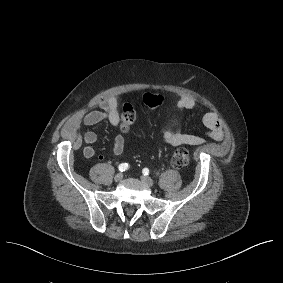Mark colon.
I'll return each mask as SVG.
<instances>
[{"label": "colon", "mask_w": 283, "mask_h": 283, "mask_svg": "<svg viewBox=\"0 0 283 283\" xmlns=\"http://www.w3.org/2000/svg\"><path fill=\"white\" fill-rule=\"evenodd\" d=\"M142 102L150 109H156L164 102V97L157 93H145L142 98ZM136 121V111L131 103H126L123 106L121 118H120V130L121 132H128L130 127ZM190 160L189 152L185 148H178L172 155V165L176 168L185 167Z\"/></svg>", "instance_id": "1"}]
</instances>
